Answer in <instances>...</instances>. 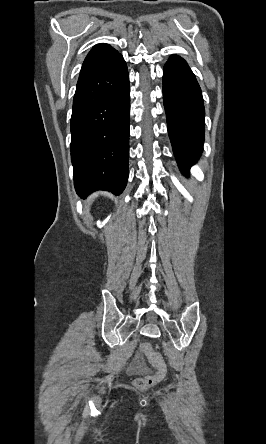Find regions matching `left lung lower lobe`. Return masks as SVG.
Instances as JSON below:
<instances>
[{
    "label": "left lung lower lobe",
    "instance_id": "0a47b994",
    "mask_svg": "<svg viewBox=\"0 0 266 444\" xmlns=\"http://www.w3.org/2000/svg\"><path fill=\"white\" fill-rule=\"evenodd\" d=\"M163 101L177 163L185 175L199 159L205 110L200 86L184 59L171 56L164 66Z\"/></svg>",
    "mask_w": 266,
    "mask_h": 444
}]
</instances>
